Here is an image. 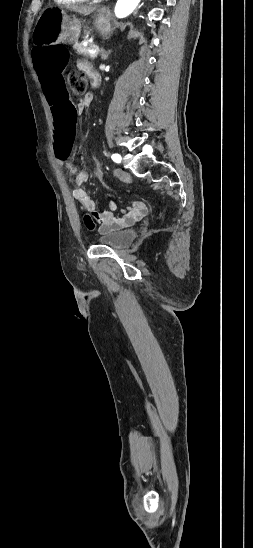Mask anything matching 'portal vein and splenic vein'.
Instances as JSON below:
<instances>
[{"label": "portal vein and splenic vein", "instance_id": "1", "mask_svg": "<svg viewBox=\"0 0 253 548\" xmlns=\"http://www.w3.org/2000/svg\"><path fill=\"white\" fill-rule=\"evenodd\" d=\"M99 52V48L98 46H95L91 51H90V54H91V57H94L98 54Z\"/></svg>", "mask_w": 253, "mask_h": 548}]
</instances>
